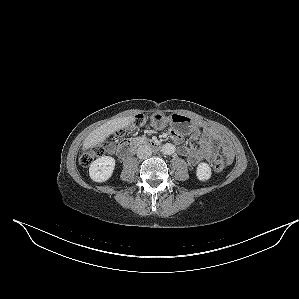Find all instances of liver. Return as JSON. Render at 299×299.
I'll return each instance as SVG.
<instances>
[{
  "label": "liver",
  "instance_id": "liver-1",
  "mask_svg": "<svg viewBox=\"0 0 299 299\" xmlns=\"http://www.w3.org/2000/svg\"><path fill=\"white\" fill-rule=\"evenodd\" d=\"M135 121L134 116L117 118L102 124L100 127L93 130L84 140L82 150L85 151L97 144L104 142L111 134L120 129L128 127Z\"/></svg>",
  "mask_w": 299,
  "mask_h": 299
}]
</instances>
